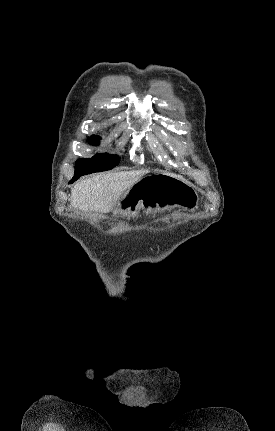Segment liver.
<instances>
[{"instance_id": "obj_1", "label": "liver", "mask_w": 275, "mask_h": 431, "mask_svg": "<svg viewBox=\"0 0 275 431\" xmlns=\"http://www.w3.org/2000/svg\"><path fill=\"white\" fill-rule=\"evenodd\" d=\"M149 171H122L100 174L77 183L71 191V204L84 212L107 213L123 194Z\"/></svg>"}]
</instances>
